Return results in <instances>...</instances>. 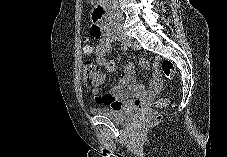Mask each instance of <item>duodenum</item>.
Wrapping results in <instances>:
<instances>
[{
	"instance_id": "1",
	"label": "duodenum",
	"mask_w": 227,
	"mask_h": 157,
	"mask_svg": "<svg viewBox=\"0 0 227 157\" xmlns=\"http://www.w3.org/2000/svg\"><path fill=\"white\" fill-rule=\"evenodd\" d=\"M108 6L107 0H102L100 3L95 4V13L97 16H89V21H93L94 25V27H91V32L110 33L111 28L105 21Z\"/></svg>"
}]
</instances>
